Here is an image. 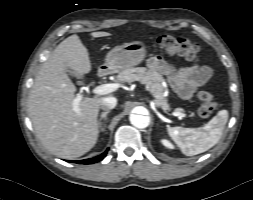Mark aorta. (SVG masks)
<instances>
[{
    "label": "aorta",
    "instance_id": "762f6f07",
    "mask_svg": "<svg viewBox=\"0 0 253 200\" xmlns=\"http://www.w3.org/2000/svg\"><path fill=\"white\" fill-rule=\"evenodd\" d=\"M130 122L133 126L143 129L148 127L150 123V119L148 116L138 115V114H131L130 115Z\"/></svg>",
    "mask_w": 253,
    "mask_h": 200
}]
</instances>
